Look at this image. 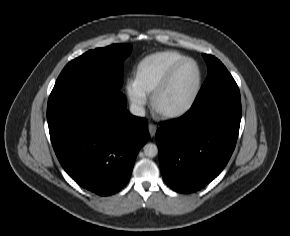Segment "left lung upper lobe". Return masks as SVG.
<instances>
[{
  "mask_svg": "<svg viewBox=\"0 0 290 236\" xmlns=\"http://www.w3.org/2000/svg\"><path fill=\"white\" fill-rule=\"evenodd\" d=\"M208 67V76L194 103L201 101L223 89L237 85L226 67L212 55L202 54Z\"/></svg>",
  "mask_w": 290,
  "mask_h": 236,
  "instance_id": "left-lung-upper-lobe-1",
  "label": "left lung upper lobe"
}]
</instances>
